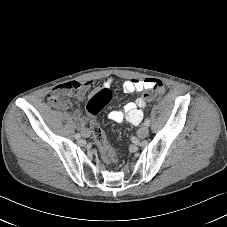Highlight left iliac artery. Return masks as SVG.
Here are the masks:
<instances>
[{
  "mask_svg": "<svg viewBox=\"0 0 227 227\" xmlns=\"http://www.w3.org/2000/svg\"><path fill=\"white\" fill-rule=\"evenodd\" d=\"M149 124H150V119L146 118L144 121V125L149 126Z\"/></svg>",
  "mask_w": 227,
  "mask_h": 227,
  "instance_id": "44dca946",
  "label": "left iliac artery"
}]
</instances>
